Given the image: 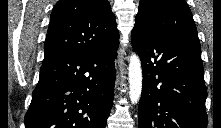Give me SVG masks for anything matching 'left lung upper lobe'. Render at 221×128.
<instances>
[{
	"mask_svg": "<svg viewBox=\"0 0 221 128\" xmlns=\"http://www.w3.org/2000/svg\"><path fill=\"white\" fill-rule=\"evenodd\" d=\"M133 30L165 36L201 52L197 29L184 0H140Z\"/></svg>",
	"mask_w": 221,
	"mask_h": 128,
	"instance_id": "5c2ea615",
	"label": "left lung upper lobe"
}]
</instances>
